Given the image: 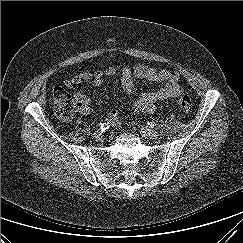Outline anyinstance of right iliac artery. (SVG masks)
Wrapping results in <instances>:
<instances>
[{
	"instance_id": "82829eb1",
	"label": "right iliac artery",
	"mask_w": 243,
	"mask_h": 243,
	"mask_svg": "<svg viewBox=\"0 0 243 243\" xmlns=\"http://www.w3.org/2000/svg\"><path fill=\"white\" fill-rule=\"evenodd\" d=\"M110 126H111V122H110V121H106V122H104V123H102V124L100 125V129H101L102 131H105V130H107Z\"/></svg>"
}]
</instances>
